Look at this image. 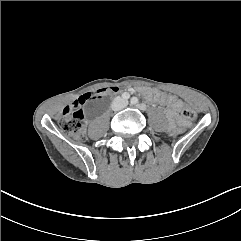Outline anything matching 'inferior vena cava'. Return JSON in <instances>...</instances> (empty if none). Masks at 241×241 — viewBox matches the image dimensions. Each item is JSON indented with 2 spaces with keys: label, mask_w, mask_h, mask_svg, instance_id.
<instances>
[{
  "label": "inferior vena cava",
  "mask_w": 241,
  "mask_h": 241,
  "mask_svg": "<svg viewBox=\"0 0 241 241\" xmlns=\"http://www.w3.org/2000/svg\"><path fill=\"white\" fill-rule=\"evenodd\" d=\"M128 105V101L122 99L121 97H116L112 104V109L114 111H119Z\"/></svg>",
  "instance_id": "602c4592"
}]
</instances>
